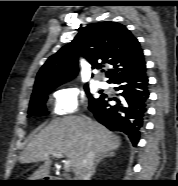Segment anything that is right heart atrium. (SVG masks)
Segmentation results:
<instances>
[{
	"instance_id": "1",
	"label": "right heart atrium",
	"mask_w": 178,
	"mask_h": 186,
	"mask_svg": "<svg viewBox=\"0 0 178 186\" xmlns=\"http://www.w3.org/2000/svg\"><path fill=\"white\" fill-rule=\"evenodd\" d=\"M85 104V94L76 87H65L54 92V113L58 117L69 116Z\"/></svg>"
}]
</instances>
